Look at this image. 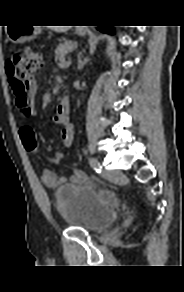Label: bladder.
Segmentation results:
<instances>
[{
  "label": "bladder",
  "mask_w": 184,
  "mask_h": 292,
  "mask_svg": "<svg viewBox=\"0 0 184 292\" xmlns=\"http://www.w3.org/2000/svg\"><path fill=\"white\" fill-rule=\"evenodd\" d=\"M119 198L91 184L64 185L55 192V207L64 222L91 233L112 224L117 217Z\"/></svg>",
  "instance_id": "1"
}]
</instances>
